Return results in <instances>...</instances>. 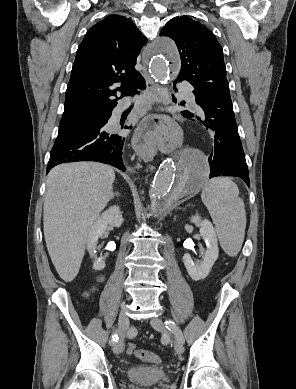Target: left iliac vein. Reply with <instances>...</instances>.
I'll return each mask as SVG.
<instances>
[{"instance_id": "1", "label": "left iliac vein", "mask_w": 296, "mask_h": 389, "mask_svg": "<svg viewBox=\"0 0 296 389\" xmlns=\"http://www.w3.org/2000/svg\"><path fill=\"white\" fill-rule=\"evenodd\" d=\"M151 325L155 329L160 330L161 332H163L165 334L168 333L162 319H160L158 317L151 319ZM174 348H175V351L178 355H181L184 352L183 342L180 339H178L177 337L174 339Z\"/></svg>"}]
</instances>
